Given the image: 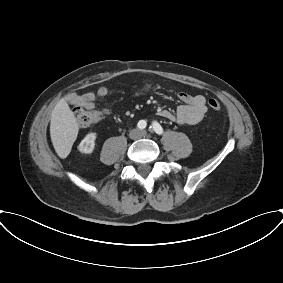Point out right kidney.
<instances>
[{"label":"right kidney","mask_w":283,"mask_h":283,"mask_svg":"<svg viewBox=\"0 0 283 283\" xmlns=\"http://www.w3.org/2000/svg\"><path fill=\"white\" fill-rule=\"evenodd\" d=\"M96 137V133L87 134L78 146L79 151L84 154L92 153L95 148Z\"/></svg>","instance_id":"obj_1"}]
</instances>
